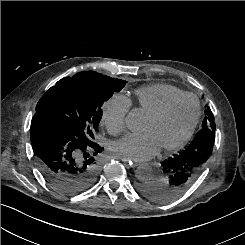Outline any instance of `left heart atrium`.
Returning a JSON list of instances; mask_svg holds the SVG:
<instances>
[{
	"instance_id": "1",
	"label": "left heart atrium",
	"mask_w": 245,
	"mask_h": 245,
	"mask_svg": "<svg viewBox=\"0 0 245 245\" xmlns=\"http://www.w3.org/2000/svg\"><path fill=\"white\" fill-rule=\"evenodd\" d=\"M160 147L148 132L128 134L111 145L112 152L125 159L145 161L152 158Z\"/></svg>"
}]
</instances>
